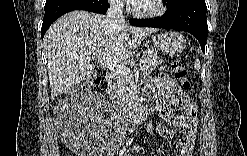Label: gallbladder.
<instances>
[{"label": "gallbladder", "instance_id": "obj_1", "mask_svg": "<svg viewBox=\"0 0 247 156\" xmlns=\"http://www.w3.org/2000/svg\"><path fill=\"white\" fill-rule=\"evenodd\" d=\"M76 87H77L76 85H75V86H72V87L69 89V91L75 90Z\"/></svg>", "mask_w": 247, "mask_h": 156}]
</instances>
